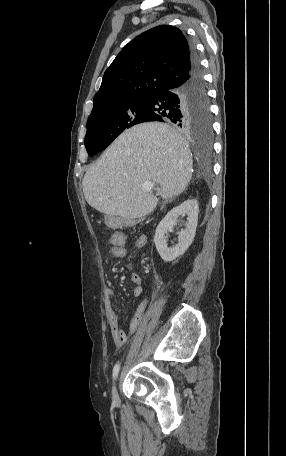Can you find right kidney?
Instances as JSON below:
<instances>
[{
    "mask_svg": "<svg viewBox=\"0 0 286 456\" xmlns=\"http://www.w3.org/2000/svg\"><path fill=\"white\" fill-rule=\"evenodd\" d=\"M198 212L197 200L188 199L169 211L158 224L155 231L154 243L160 257L165 262L174 261L177 257L184 254L191 245L198 224ZM185 215H187L186 228L179 232V243L169 248L165 235L177 224L178 218Z\"/></svg>",
    "mask_w": 286,
    "mask_h": 456,
    "instance_id": "ca27d5eb",
    "label": "right kidney"
}]
</instances>
